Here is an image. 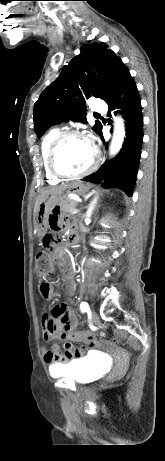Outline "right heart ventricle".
Segmentation results:
<instances>
[{"label":"right heart ventricle","mask_w":165,"mask_h":461,"mask_svg":"<svg viewBox=\"0 0 165 461\" xmlns=\"http://www.w3.org/2000/svg\"><path fill=\"white\" fill-rule=\"evenodd\" d=\"M59 134L58 130H51L49 131L45 136L44 138L42 139V142H41V145H40V149H41V155H42V159H43V166H44V170H45V176H46V179L49 183L51 184H56L59 182L60 178L58 177H55L53 176L49 170H48V167H47V154H48V150H49V147L52 143V141L56 138V136Z\"/></svg>","instance_id":"1"}]
</instances>
